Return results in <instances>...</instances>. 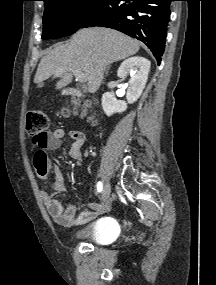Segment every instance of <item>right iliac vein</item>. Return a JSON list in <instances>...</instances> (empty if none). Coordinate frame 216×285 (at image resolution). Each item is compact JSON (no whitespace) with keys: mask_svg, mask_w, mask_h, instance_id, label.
I'll return each mask as SVG.
<instances>
[{"mask_svg":"<svg viewBox=\"0 0 216 285\" xmlns=\"http://www.w3.org/2000/svg\"><path fill=\"white\" fill-rule=\"evenodd\" d=\"M110 191H111V186L109 182H105L103 190H102V201L105 202L109 195H110Z\"/></svg>","mask_w":216,"mask_h":285,"instance_id":"obj_1","label":"right iliac vein"}]
</instances>
